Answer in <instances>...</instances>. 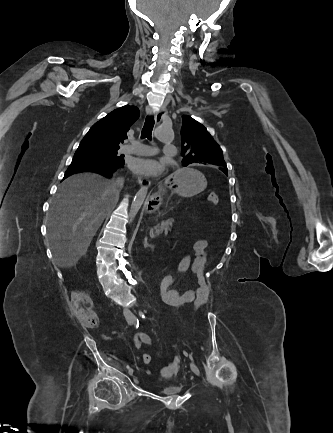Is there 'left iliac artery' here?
<instances>
[{
  "mask_svg": "<svg viewBox=\"0 0 333 433\" xmlns=\"http://www.w3.org/2000/svg\"><path fill=\"white\" fill-rule=\"evenodd\" d=\"M141 316H142V318H144V319L146 318L143 314H141ZM184 354H185L186 356H188V353H187V352H184ZM189 357H190L191 360H193V358H192L191 355H189Z\"/></svg>",
  "mask_w": 333,
  "mask_h": 433,
  "instance_id": "1",
  "label": "left iliac artery"
}]
</instances>
